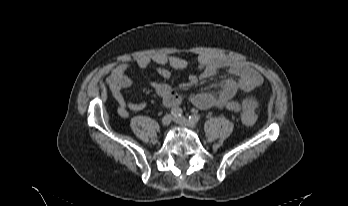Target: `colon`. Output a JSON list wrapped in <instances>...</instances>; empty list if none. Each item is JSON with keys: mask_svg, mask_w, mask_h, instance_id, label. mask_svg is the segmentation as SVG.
Wrapping results in <instances>:
<instances>
[{"mask_svg": "<svg viewBox=\"0 0 348 206\" xmlns=\"http://www.w3.org/2000/svg\"><path fill=\"white\" fill-rule=\"evenodd\" d=\"M242 104L244 108L242 112V121L247 126H253L256 122V117L252 105L247 100H244Z\"/></svg>", "mask_w": 348, "mask_h": 206, "instance_id": "5ec220e1", "label": "colon"}]
</instances>
